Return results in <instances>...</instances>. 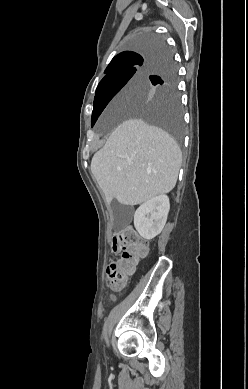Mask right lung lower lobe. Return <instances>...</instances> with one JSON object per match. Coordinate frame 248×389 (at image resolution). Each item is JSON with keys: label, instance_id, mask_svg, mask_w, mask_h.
I'll return each mask as SVG.
<instances>
[{"label": "right lung lower lobe", "instance_id": "right-lung-lower-lobe-1", "mask_svg": "<svg viewBox=\"0 0 248 389\" xmlns=\"http://www.w3.org/2000/svg\"><path fill=\"white\" fill-rule=\"evenodd\" d=\"M167 52V48L164 46L163 44V47L158 51V55H163L164 53ZM163 59H160V61H162Z\"/></svg>", "mask_w": 248, "mask_h": 389}]
</instances>
